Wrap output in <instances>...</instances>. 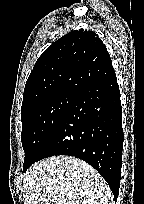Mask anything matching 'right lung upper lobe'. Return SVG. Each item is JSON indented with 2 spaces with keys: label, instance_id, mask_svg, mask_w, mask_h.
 Here are the masks:
<instances>
[{
  "label": "right lung upper lobe",
  "instance_id": "cb5924a9",
  "mask_svg": "<svg viewBox=\"0 0 144 204\" xmlns=\"http://www.w3.org/2000/svg\"><path fill=\"white\" fill-rule=\"evenodd\" d=\"M114 69L95 32L79 29L54 42L39 57L25 85L21 112L59 93L77 94Z\"/></svg>",
  "mask_w": 144,
  "mask_h": 204
}]
</instances>
